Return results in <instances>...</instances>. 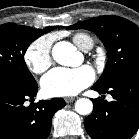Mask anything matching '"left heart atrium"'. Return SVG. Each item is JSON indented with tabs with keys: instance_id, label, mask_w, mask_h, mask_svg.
<instances>
[{
	"instance_id": "obj_1",
	"label": "left heart atrium",
	"mask_w": 139,
	"mask_h": 139,
	"mask_svg": "<svg viewBox=\"0 0 139 139\" xmlns=\"http://www.w3.org/2000/svg\"><path fill=\"white\" fill-rule=\"evenodd\" d=\"M95 80V72L89 65L78 68L58 67L41 80L43 92L51 97L73 96Z\"/></svg>"
}]
</instances>
